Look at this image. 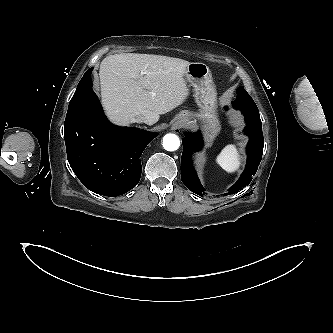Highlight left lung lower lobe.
Returning <instances> with one entry per match:
<instances>
[{"mask_svg":"<svg viewBox=\"0 0 333 333\" xmlns=\"http://www.w3.org/2000/svg\"><path fill=\"white\" fill-rule=\"evenodd\" d=\"M233 106L240 109L245 115L247 126L244 131L250 137L247 145V165L244 172L241 174L238 181L228 189L230 193H236L238 189L249 185L252 176L255 175L260 164L263 154V133L262 123L259 116V111L253 99L246 100L239 98L233 101ZM183 153L181 157V179L185 186L192 192L202 195L205 189L200 184L196 171L193 168L191 161V153L202 147L201 136L199 133L186 134V138L182 140Z\"/></svg>","mask_w":333,"mask_h":333,"instance_id":"obj_1","label":"left lung lower lobe"}]
</instances>
